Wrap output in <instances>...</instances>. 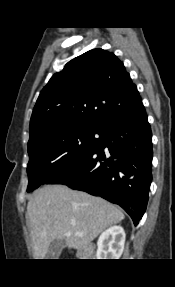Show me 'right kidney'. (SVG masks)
Returning a JSON list of instances; mask_svg holds the SVG:
<instances>
[{"instance_id":"ca27d5eb","label":"right kidney","mask_w":175,"mask_h":287,"mask_svg":"<svg viewBox=\"0 0 175 287\" xmlns=\"http://www.w3.org/2000/svg\"><path fill=\"white\" fill-rule=\"evenodd\" d=\"M125 232L121 226L105 230L97 242V259H119L125 244Z\"/></svg>"}]
</instances>
